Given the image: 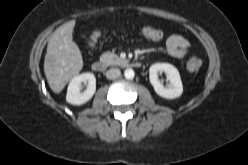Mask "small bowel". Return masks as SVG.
<instances>
[{"instance_id":"1","label":"small bowel","mask_w":248,"mask_h":165,"mask_svg":"<svg viewBox=\"0 0 248 165\" xmlns=\"http://www.w3.org/2000/svg\"><path fill=\"white\" fill-rule=\"evenodd\" d=\"M147 28L148 27L142 28L140 30V32L144 37L151 39L150 37H148L144 33L145 29H147ZM94 34L92 35V42H95L98 38L97 37L96 40H94ZM151 40H153V39H151ZM189 48H190V44H189L188 40L185 39L184 37L180 36V35H171L166 40L167 55L173 59L184 58L186 56V54L188 53Z\"/></svg>"}]
</instances>
